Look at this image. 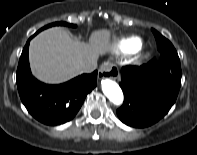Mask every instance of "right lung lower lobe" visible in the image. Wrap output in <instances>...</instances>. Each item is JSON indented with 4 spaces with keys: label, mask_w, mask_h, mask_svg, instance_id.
Returning <instances> with one entry per match:
<instances>
[{
    "label": "right lung lower lobe",
    "mask_w": 197,
    "mask_h": 155,
    "mask_svg": "<svg viewBox=\"0 0 197 155\" xmlns=\"http://www.w3.org/2000/svg\"><path fill=\"white\" fill-rule=\"evenodd\" d=\"M33 37L22 51L16 73L21 101L34 118L46 125L66 123L76 115L87 94L97 85V71L59 85L38 81L29 66V43Z\"/></svg>",
    "instance_id": "right-lung-lower-lobe-1"
}]
</instances>
